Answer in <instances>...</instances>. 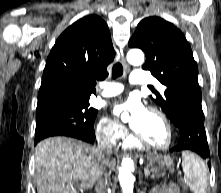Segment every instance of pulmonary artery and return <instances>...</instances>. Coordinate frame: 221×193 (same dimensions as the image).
Masks as SVG:
<instances>
[{
    "label": "pulmonary artery",
    "mask_w": 221,
    "mask_h": 193,
    "mask_svg": "<svg viewBox=\"0 0 221 193\" xmlns=\"http://www.w3.org/2000/svg\"><path fill=\"white\" fill-rule=\"evenodd\" d=\"M130 81L133 84L139 85V86H145V85H151L154 84L158 86L159 88H162L160 83L147 71L145 70H135L130 76ZM102 92L101 94L103 96H115L123 91V85L120 83H111V82H103L101 84Z\"/></svg>",
    "instance_id": "pulmonary-artery-1"
}]
</instances>
